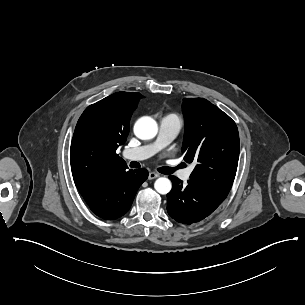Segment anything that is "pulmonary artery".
I'll use <instances>...</instances> for the list:
<instances>
[{"label":"pulmonary artery","mask_w":305,"mask_h":305,"mask_svg":"<svg viewBox=\"0 0 305 305\" xmlns=\"http://www.w3.org/2000/svg\"><path fill=\"white\" fill-rule=\"evenodd\" d=\"M181 129L180 120L174 115L163 117L159 123V131L156 140L150 144L140 147L128 149L124 153V157L128 160H144L147 159L162 148L170 144L178 135ZM194 167L190 166L181 172L180 178L182 180H189Z\"/></svg>","instance_id":"obj_1"}]
</instances>
